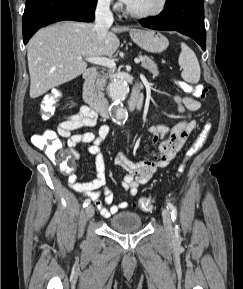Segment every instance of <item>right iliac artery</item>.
<instances>
[{
    "instance_id": "obj_1",
    "label": "right iliac artery",
    "mask_w": 243,
    "mask_h": 289,
    "mask_svg": "<svg viewBox=\"0 0 243 289\" xmlns=\"http://www.w3.org/2000/svg\"><path fill=\"white\" fill-rule=\"evenodd\" d=\"M89 204H90V200H89V199H86V200L83 202V207H87Z\"/></svg>"
}]
</instances>
